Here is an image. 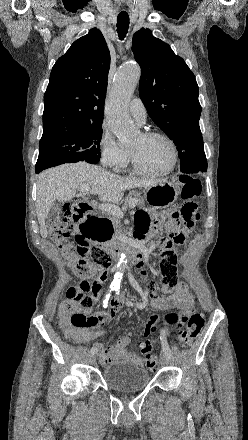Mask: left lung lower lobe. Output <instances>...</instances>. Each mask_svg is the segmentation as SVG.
Masks as SVG:
<instances>
[{"label":"left lung lower lobe","mask_w":248,"mask_h":440,"mask_svg":"<svg viewBox=\"0 0 248 440\" xmlns=\"http://www.w3.org/2000/svg\"><path fill=\"white\" fill-rule=\"evenodd\" d=\"M200 173H204L205 171H199Z\"/></svg>","instance_id":"left-lung-lower-lobe-1"}]
</instances>
